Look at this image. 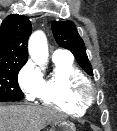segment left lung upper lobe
<instances>
[{"mask_svg":"<svg viewBox=\"0 0 117 131\" xmlns=\"http://www.w3.org/2000/svg\"><path fill=\"white\" fill-rule=\"evenodd\" d=\"M52 32L58 45L70 50L82 69L92 75V66L86 55L85 44L74 23L71 21H54L52 23Z\"/></svg>","mask_w":117,"mask_h":131,"instance_id":"obj_1","label":"left lung upper lobe"}]
</instances>
